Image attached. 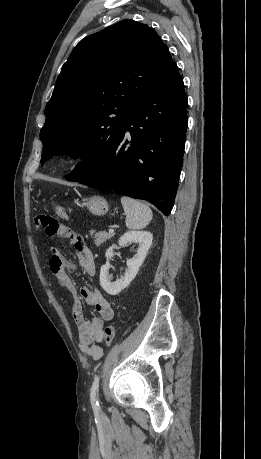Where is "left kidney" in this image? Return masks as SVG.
Listing matches in <instances>:
<instances>
[{"mask_svg": "<svg viewBox=\"0 0 261 459\" xmlns=\"http://www.w3.org/2000/svg\"><path fill=\"white\" fill-rule=\"evenodd\" d=\"M153 236L148 231H129L121 236L118 240V246H111L106 251V264L100 270V284L101 287L109 295H117L125 289L137 275L139 268L143 264L147 253L152 245ZM128 242H135L139 244L137 253L127 261V268L124 276L120 279L112 281V276L109 275L110 259L114 255L113 250L126 245Z\"/></svg>", "mask_w": 261, "mask_h": 459, "instance_id": "5707ae66", "label": "left kidney"}]
</instances>
